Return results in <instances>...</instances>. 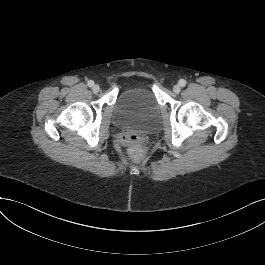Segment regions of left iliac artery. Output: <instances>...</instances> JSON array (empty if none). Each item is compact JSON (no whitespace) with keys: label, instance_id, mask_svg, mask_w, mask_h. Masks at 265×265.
<instances>
[{"label":"left iliac artery","instance_id":"left-iliac-artery-1","mask_svg":"<svg viewBox=\"0 0 265 265\" xmlns=\"http://www.w3.org/2000/svg\"><path fill=\"white\" fill-rule=\"evenodd\" d=\"M179 85H180L181 87H184V86L186 85V81H185L184 79H180V80H179Z\"/></svg>","mask_w":265,"mask_h":265}]
</instances>
